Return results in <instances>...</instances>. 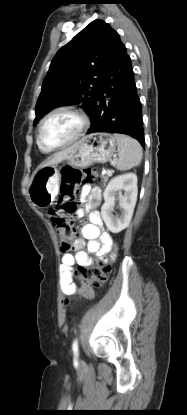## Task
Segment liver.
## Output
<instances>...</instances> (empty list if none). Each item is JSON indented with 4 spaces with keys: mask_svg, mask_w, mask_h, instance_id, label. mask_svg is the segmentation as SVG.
<instances>
[{
    "mask_svg": "<svg viewBox=\"0 0 187 415\" xmlns=\"http://www.w3.org/2000/svg\"><path fill=\"white\" fill-rule=\"evenodd\" d=\"M75 145H76V144H74L73 146H71V147H69V148H67V149H64V150H62V151H60V152L55 153L52 157H50V158L47 160V162H46V163H44L43 165H41L39 168H41V167H45V166L54 165V164H57V163L61 162L62 160H64V159L67 157V155H68L71 151H73V149H74Z\"/></svg>",
    "mask_w": 187,
    "mask_h": 415,
    "instance_id": "1",
    "label": "liver"
}]
</instances>
